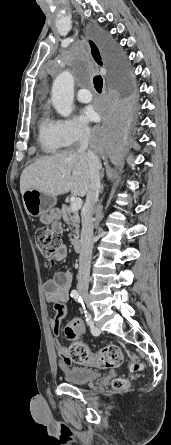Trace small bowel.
<instances>
[{"label":"small bowel","mask_w":171,"mask_h":445,"mask_svg":"<svg viewBox=\"0 0 171 445\" xmlns=\"http://www.w3.org/2000/svg\"><path fill=\"white\" fill-rule=\"evenodd\" d=\"M50 227L54 232L61 231V225L58 222H52ZM66 257L67 247L65 245H61L57 254V261H62ZM72 278L73 276L71 271H59L44 284L45 298L49 303L54 304L55 307V316L49 321L50 328L55 335L59 333L61 322L67 314L69 290L71 287ZM70 323L74 325L76 333L81 335L84 334L85 327L80 319H74ZM55 344L58 353L62 357L61 366L63 368H69L71 366V361L69 360V348L60 344L58 341H55Z\"/></svg>","instance_id":"c3829d8e"}]
</instances>
